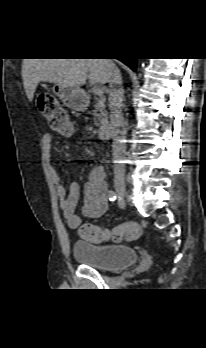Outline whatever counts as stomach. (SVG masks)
<instances>
[{"mask_svg":"<svg viewBox=\"0 0 206 348\" xmlns=\"http://www.w3.org/2000/svg\"><path fill=\"white\" fill-rule=\"evenodd\" d=\"M52 91L67 107L76 111H82L86 108V94L80 88H74L65 84H54Z\"/></svg>","mask_w":206,"mask_h":348,"instance_id":"1","label":"stomach"}]
</instances>
